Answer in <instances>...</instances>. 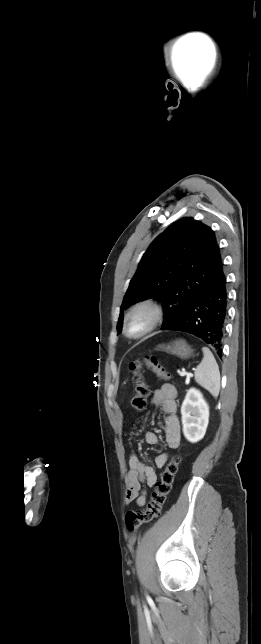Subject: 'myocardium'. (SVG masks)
<instances>
[{"instance_id":"f54148a6","label":"myocardium","mask_w":261,"mask_h":644,"mask_svg":"<svg viewBox=\"0 0 261 644\" xmlns=\"http://www.w3.org/2000/svg\"><path fill=\"white\" fill-rule=\"evenodd\" d=\"M144 312L148 316L146 325L138 332L131 331V320L133 317ZM164 306L162 302L156 298H144L135 302L127 311L123 321V334L126 338L131 340H138L150 332H152L163 320Z\"/></svg>"}]
</instances>
